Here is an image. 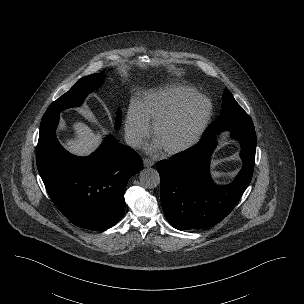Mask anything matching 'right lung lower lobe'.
<instances>
[{"label":"right lung lower lobe","mask_w":304,"mask_h":304,"mask_svg":"<svg viewBox=\"0 0 304 304\" xmlns=\"http://www.w3.org/2000/svg\"><path fill=\"white\" fill-rule=\"evenodd\" d=\"M59 112L44 115L37 145V168L59 211L74 225L105 230L121 220L128 180L143 167L130 147L107 136L88 157H77L58 142Z\"/></svg>","instance_id":"obj_1"}]
</instances>
